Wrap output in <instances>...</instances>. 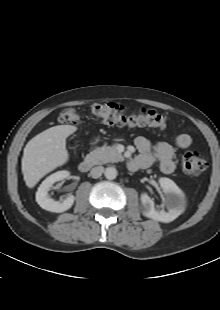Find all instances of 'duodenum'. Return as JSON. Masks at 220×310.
Listing matches in <instances>:
<instances>
[{
	"label": "duodenum",
	"mask_w": 220,
	"mask_h": 310,
	"mask_svg": "<svg viewBox=\"0 0 220 310\" xmlns=\"http://www.w3.org/2000/svg\"><path fill=\"white\" fill-rule=\"evenodd\" d=\"M94 163H95L94 159L86 158L79 163L78 168L81 172L87 173L92 169ZM134 164H135V160H131L129 162V167L133 166Z\"/></svg>",
	"instance_id": "1"
}]
</instances>
